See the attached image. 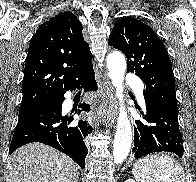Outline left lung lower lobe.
Returning a JSON list of instances; mask_svg holds the SVG:
<instances>
[{
  "label": "left lung lower lobe",
  "instance_id": "obj_1",
  "mask_svg": "<svg viewBox=\"0 0 196 182\" xmlns=\"http://www.w3.org/2000/svg\"><path fill=\"white\" fill-rule=\"evenodd\" d=\"M143 94L146 111L141 115L146 122L135 121L132 150L135 158L155 152H170L182 157L184 148L177 114L154 96Z\"/></svg>",
  "mask_w": 196,
  "mask_h": 182
}]
</instances>
